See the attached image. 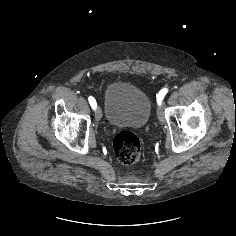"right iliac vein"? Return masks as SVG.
Returning a JSON list of instances; mask_svg holds the SVG:
<instances>
[{"instance_id":"1","label":"right iliac vein","mask_w":236,"mask_h":236,"mask_svg":"<svg viewBox=\"0 0 236 236\" xmlns=\"http://www.w3.org/2000/svg\"><path fill=\"white\" fill-rule=\"evenodd\" d=\"M95 118L97 120H101V118H102V113H101V110L99 108L95 112Z\"/></svg>"}]
</instances>
